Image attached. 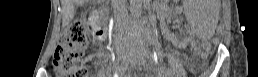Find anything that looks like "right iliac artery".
<instances>
[{"mask_svg": "<svg viewBox=\"0 0 258 77\" xmlns=\"http://www.w3.org/2000/svg\"><path fill=\"white\" fill-rule=\"evenodd\" d=\"M113 77H118V73H115Z\"/></svg>", "mask_w": 258, "mask_h": 77, "instance_id": "right-iliac-artery-1", "label": "right iliac artery"}]
</instances>
